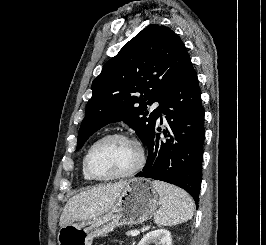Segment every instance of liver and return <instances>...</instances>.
<instances>
[{"label": "liver", "instance_id": "1", "mask_svg": "<svg viewBox=\"0 0 266 245\" xmlns=\"http://www.w3.org/2000/svg\"><path fill=\"white\" fill-rule=\"evenodd\" d=\"M128 181L108 183L92 187L89 191H82L66 203L60 217V227L72 225L75 221H90L104 215L118 201Z\"/></svg>", "mask_w": 266, "mask_h": 245}]
</instances>
